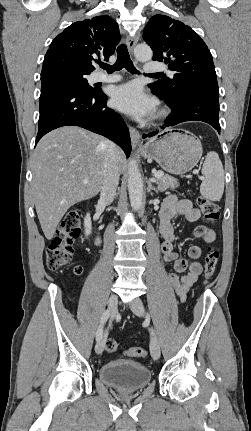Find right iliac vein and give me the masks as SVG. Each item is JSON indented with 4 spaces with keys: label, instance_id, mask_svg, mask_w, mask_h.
<instances>
[{
    "label": "right iliac vein",
    "instance_id": "63e3f726",
    "mask_svg": "<svg viewBox=\"0 0 251 431\" xmlns=\"http://www.w3.org/2000/svg\"><path fill=\"white\" fill-rule=\"evenodd\" d=\"M107 304H108V310L110 311V315H111V318H112V317H114L115 310H116V307H117V304H118V297H117V295L112 294L109 297ZM105 341H106V334L98 340V342H97V344L95 346V351H96L97 354H101L103 352L104 347H105Z\"/></svg>",
    "mask_w": 251,
    "mask_h": 431
}]
</instances>
